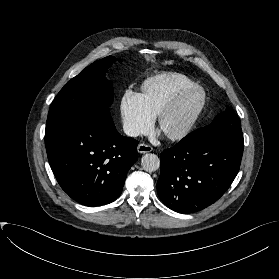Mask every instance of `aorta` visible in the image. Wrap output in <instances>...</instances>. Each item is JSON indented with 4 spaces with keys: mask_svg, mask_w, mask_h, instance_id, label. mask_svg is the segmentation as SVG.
<instances>
[{
    "mask_svg": "<svg viewBox=\"0 0 279 279\" xmlns=\"http://www.w3.org/2000/svg\"><path fill=\"white\" fill-rule=\"evenodd\" d=\"M141 166L147 172H154L160 167V159L155 154L147 153L141 158Z\"/></svg>",
    "mask_w": 279,
    "mask_h": 279,
    "instance_id": "aorta-1",
    "label": "aorta"
}]
</instances>
